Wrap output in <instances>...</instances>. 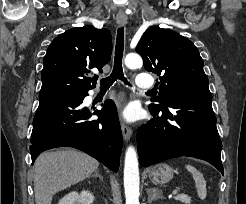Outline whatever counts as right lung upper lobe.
Returning <instances> with one entry per match:
<instances>
[{
	"label": "right lung upper lobe",
	"mask_w": 246,
	"mask_h": 204,
	"mask_svg": "<svg viewBox=\"0 0 246 204\" xmlns=\"http://www.w3.org/2000/svg\"><path fill=\"white\" fill-rule=\"evenodd\" d=\"M112 38L107 29L91 25L67 30L56 37L43 60L42 87L39 97L65 91H88L98 76H87L90 69L102 67L110 60Z\"/></svg>",
	"instance_id": "1"
}]
</instances>
